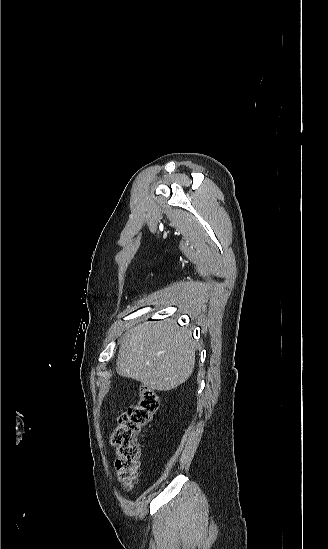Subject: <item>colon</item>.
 Returning <instances> with one entry per match:
<instances>
[{
  "mask_svg": "<svg viewBox=\"0 0 328 549\" xmlns=\"http://www.w3.org/2000/svg\"><path fill=\"white\" fill-rule=\"evenodd\" d=\"M159 406L158 394L149 387L140 389L139 401L130 406L118 419L112 434L116 451V468L120 482L128 489L138 477L139 446L137 435L151 420Z\"/></svg>",
  "mask_w": 328,
  "mask_h": 549,
  "instance_id": "1",
  "label": "colon"
}]
</instances>
